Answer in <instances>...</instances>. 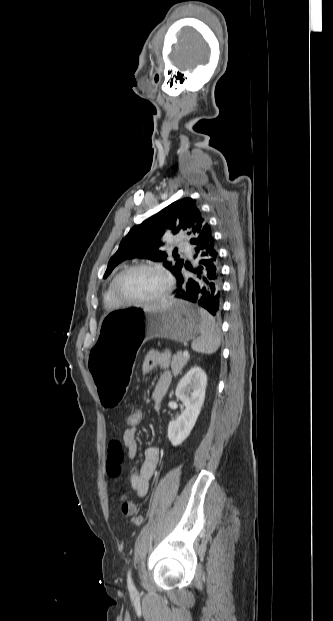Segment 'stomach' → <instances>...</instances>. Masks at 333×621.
<instances>
[{
	"label": "stomach",
	"mask_w": 333,
	"mask_h": 621,
	"mask_svg": "<svg viewBox=\"0 0 333 621\" xmlns=\"http://www.w3.org/2000/svg\"><path fill=\"white\" fill-rule=\"evenodd\" d=\"M199 309L181 300L165 306L129 308L103 315L90 346L91 378L104 411L112 413L130 386L139 345L152 338L187 343L200 332Z\"/></svg>",
	"instance_id": "0dacf381"
}]
</instances>
